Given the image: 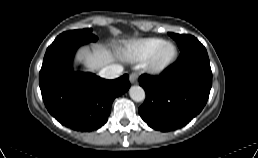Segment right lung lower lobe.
I'll return each instance as SVG.
<instances>
[{"instance_id": "right-lung-lower-lobe-1", "label": "right lung lower lobe", "mask_w": 258, "mask_h": 158, "mask_svg": "<svg viewBox=\"0 0 258 158\" xmlns=\"http://www.w3.org/2000/svg\"><path fill=\"white\" fill-rule=\"evenodd\" d=\"M80 41L53 42L46 51L39 73V86L49 113L66 127L92 131L107 121L113 100L129 87L127 74L105 80L72 69Z\"/></svg>"}]
</instances>
